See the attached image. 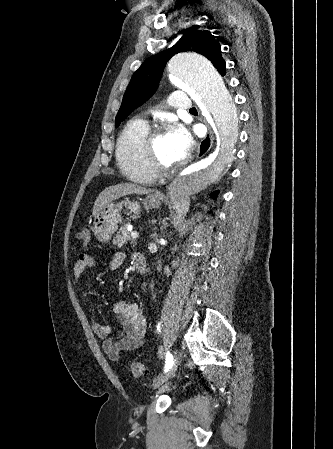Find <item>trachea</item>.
<instances>
[{
  "label": "trachea",
  "mask_w": 333,
  "mask_h": 449,
  "mask_svg": "<svg viewBox=\"0 0 333 449\" xmlns=\"http://www.w3.org/2000/svg\"><path fill=\"white\" fill-rule=\"evenodd\" d=\"M197 110H196V108H191L190 109V112H196Z\"/></svg>",
  "instance_id": "obj_1"
}]
</instances>
